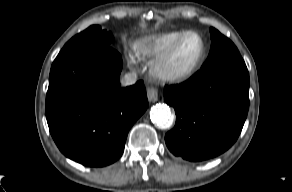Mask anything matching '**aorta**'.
<instances>
[{"instance_id":"aorta-1","label":"aorta","mask_w":292,"mask_h":192,"mask_svg":"<svg viewBox=\"0 0 292 192\" xmlns=\"http://www.w3.org/2000/svg\"><path fill=\"white\" fill-rule=\"evenodd\" d=\"M151 121L161 129L172 125L171 110L166 104H156L150 110Z\"/></svg>"}]
</instances>
